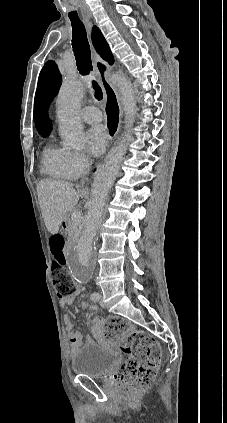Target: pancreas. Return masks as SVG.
<instances>
[{
	"instance_id": "obj_1",
	"label": "pancreas",
	"mask_w": 227,
	"mask_h": 423,
	"mask_svg": "<svg viewBox=\"0 0 227 423\" xmlns=\"http://www.w3.org/2000/svg\"><path fill=\"white\" fill-rule=\"evenodd\" d=\"M73 211V210H72ZM71 213H67L68 221L66 225V231L68 233V239H73L76 241L81 233V223L80 221H73L70 217Z\"/></svg>"
}]
</instances>
